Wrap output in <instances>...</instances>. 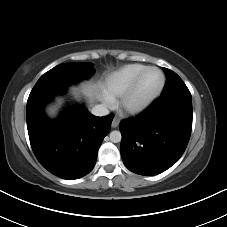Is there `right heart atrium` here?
I'll return each mask as SVG.
<instances>
[{"instance_id":"obj_1","label":"right heart atrium","mask_w":227,"mask_h":227,"mask_svg":"<svg viewBox=\"0 0 227 227\" xmlns=\"http://www.w3.org/2000/svg\"><path fill=\"white\" fill-rule=\"evenodd\" d=\"M103 101L108 105L112 103V99L106 95L103 96Z\"/></svg>"}]
</instances>
